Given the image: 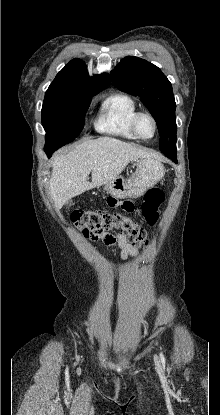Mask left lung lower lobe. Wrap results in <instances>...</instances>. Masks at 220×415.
<instances>
[{
	"label": "left lung lower lobe",
	"instance_id": "left-lung-lower-lobe-1",
	"mask_svg": "<svg viewBox=\"0 0 220 415\" xmlns=\"http://www.w3.org/2000/svg\"><path fill=\"white\" fill-rule=\"evenodd\" d=\"M168 158L172 159L173 162L177 163V153H164Z\"/></svg>",
	"mask_w": 220,
	"mask_h": 415
}]
</instances>
